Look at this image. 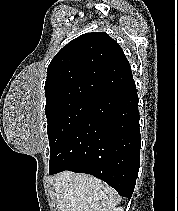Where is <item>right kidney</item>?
<instances>
[{"label":"right kidney","mask_w":178,"mask_h":211,"mask_svg":"<svg viewBox=\"0 0 178 211\" xmlns=\"http://www.w3.org/2000/svg\"><path fill=\"white\" fill-rule=\"evenodd\" d=\"M113 211H123L122 208L114 209Z\"/></svg>","instance_id":"ca27d5eb"}]
</instances>
